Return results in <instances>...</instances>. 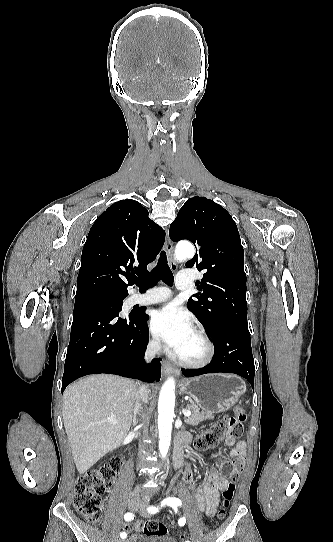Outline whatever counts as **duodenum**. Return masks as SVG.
I'll list each match as a JSON object with an SVG mask.
<instances>
[{
  "label": "duodenum",
  "instance_id": "obj_1",
  "mask_svg": "<svg viewBox=\"0 0 333 542\" xmlns=\"http://www.w3.org/2000/svg\"><path fill=\"white\" fill-rule=\"evenodd\" d=\"M190 434H179L175 438L174 443V466L179 469L183 463L184 446L191 442Z\"/></svg>",
  "mask_w": 333,
  "mask_h": 542
}]
</instances>
